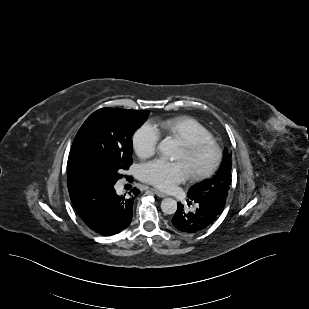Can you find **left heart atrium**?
Wrapping results in <instances>:
<instances>
[{
    "mask_svg": "<svg viewBox=\"0 0 309 309\" xmlns=\"http://www.w3.org/2000/svg\"><path fill=\"white\" fill-rule=\"evenodd\" d=\"M189 169L183 161H169L163 158L144 163L138 168V176L163 191L173 190L189 176Z\"/></svg>",
    "mask_w": 309,
    "mask_h": 309,
    "instance_id": "obj_1",
    "label": "left heart atrium"
}]
</instances>
